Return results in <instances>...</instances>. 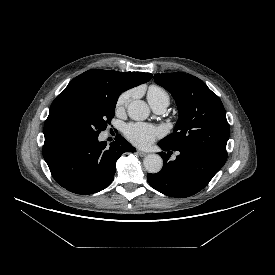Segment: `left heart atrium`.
Segmentation results:
<instances>
[{
	"instance_id": "obj_1",
	"label": "left heart atrium",
	"mask_w": 275,
	"mask_h": 275,
	"mask_svg": "<svg viewBox=\"0 0 275 275\" xmlns=\"http://www.w3.org/2000/svg\"><path fill=\"white\" fill-rule=\"evenodd\" d=\"M162 134L160 128L147 123H131L125 128L126 137L138 147H147Z\"/></svg>"
}]
</instances>
